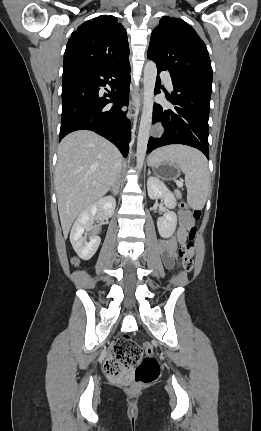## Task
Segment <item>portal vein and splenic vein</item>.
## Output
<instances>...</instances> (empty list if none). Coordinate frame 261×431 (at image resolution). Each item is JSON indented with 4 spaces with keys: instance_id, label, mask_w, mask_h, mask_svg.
<instances>
[{
    "instance_id": "18ae733b",
    "label": "portal vein and splenic vein",
    "mask_w": 261,
    "mask_h": 431,
    "mask_svg": "<svg viewBox=\"0 0 261 431\" xmlns=\"http://www.w3.org/2000/svg\"><path fill=\"white\" fill-rule=\"evenodd\" d=\"M176 183H177V186H178L179 188L183 186V184H182V182H181V181H177Z\"/></svg>"
}]
</instances>
